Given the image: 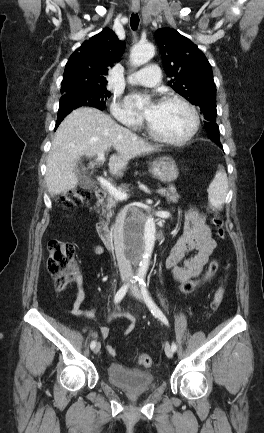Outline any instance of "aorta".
I'll list each match as a JSON object with an SVG mask.
<instances>
[{"label":"aorta","mask_w":264,"mask_h":433,"mask_svg":"<svg viewBox=\"0 0 264 433\" xmlns=\"http://www.w3.org/2000/svg\"><path fill=\"white\" fill-rule=\"evenodd\" d=\"M155 54V48L152 44H142L135 46L130 54L131 63L140 66L148 62ZM156 226L155 219L149 216L143 225V247L138 262L136 276L144 278L155 244Z\"/></svg>","instance_id":"762f6f07"}]
</instances>
